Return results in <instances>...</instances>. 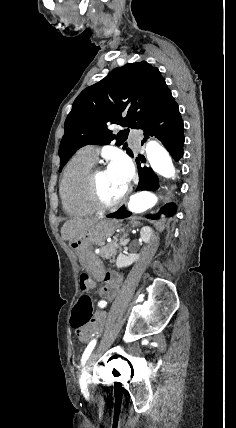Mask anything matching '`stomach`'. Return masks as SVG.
I'll return each mask as SVG.
<instances>
[{
  "instance_id": "1",
  "label": "stomach",
  "mask_w": 236,
  "mask_h": 428,
  "mask_svg": "<svg viewBox=\"0 0 236 428\" xmlns=\"http://www.w3.org/2000/svg\"><path fill=\"white\" fill-rule=\"evenodd\" d=\"M114 228L107 220H98L94 226H89L74 242L70 240V248L78 256L83 269H89L91 280L95 283L103 282L105 263L93 254V246H101L107 238L113 236Z\"/></svg>"
}]
</instances>
